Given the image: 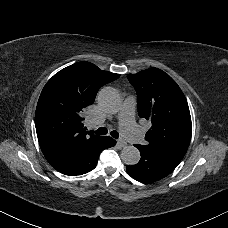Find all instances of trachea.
<instances>
[{
    "instance_id": "1",
    "label": "trachea",
    "mask_w": 228,
    "mask_h": 228,
    "mask_svg": "<svg viewBox=\"0 0 228 228\" xmlns=\"http://www.w3.org/2000/svg\"><path fill=\"white\" fill-rule=\"evenodd\" d=\"M107 132L108 131H107V129L105 127H101L99 129L93 131V133L98 134V135H105V134H107ZM110 134L115 139H118L119 138V133L116 130L111 131Z\"/></svg>"
}]
</instances>
